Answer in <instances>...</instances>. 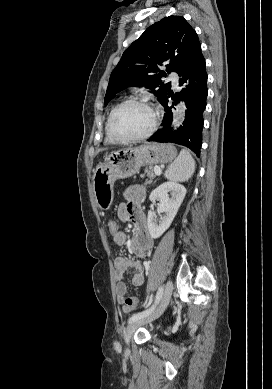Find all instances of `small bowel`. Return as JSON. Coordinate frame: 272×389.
I'll return each instance as SVG.
<instances>
[{
    "instance_id": "c3829d8e",
    "label": "small bowel",
    "mask_w": 272,
    "mask_h": 389,
    "mask_svg": "<svg viewBox=\"0 0 272 389\" xmlns=\"http://www.w3.org/2000/svg\"><path fill=\"white\" fill-rule=\"evenodd\" d=\"M145 189L139 185H132L125 190V202L121 203L117 209V216L123 223L130 222L133 227V237L129 242L132 253L138 258H147L153 247V239L149 234L146 218L141 210V204L145 199ZM114 242L117 245H125L128 243L127 234L124 231H119L113 236ZM116 268L117 282L115 293L117 302L123 305L125 312L131 309L125 305V296L127 286L123 281V276L126 272L132 271V284L141 286L145 280V272L143 265L138 260L130 257L120 256L114 261Z\"/></svg>"
}]
</instances>
